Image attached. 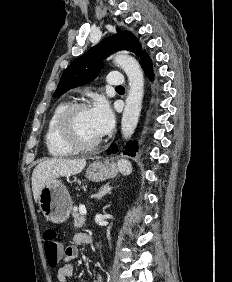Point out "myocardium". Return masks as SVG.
<instances>
[{"label": "myocardium", "instance_id": "1", "mask_svg": "<svg viewBox=\"0 0 232 282\" xmlns=\"http://www.w3.org/2000/svg\"><path fill=\"white\" fill-rule=\"evenodd\" d=\"M87 109H90V106L86 102L70 103L63 110L58 120L57 129L60 139L75 151L91 150L102 142L101 137L92 142H83L75 132L74 121L77 113Z\"/></svg>", "mask_w": 232, "mask_h": 282}]
</instances>
